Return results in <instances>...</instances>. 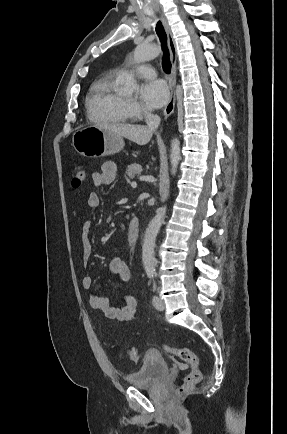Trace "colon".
Listing matches in <instances>:
<instances>
[{"label": "colon", "mask_w": 287, "mask_h": 434, "mask_svg": "<svg viewBox=\"0 0 287 434\" xmlns=\"http://www.w3.org/2000/svg\"><path fill=\"white\" fill-rule=\"evenodd\" d=\"M85 178H86V171L84 167L80 164L76 165L73 169V174H72V182H71L72 186L74 188H79L85 181ZM164 348L169 354L186 362L190 367V370L186 375L183 384L177 390V394L182 395L183 393L197 386L202 379V374L199 368V360L197 356L188 348L173 347L167 345L164 346ZM126 355L129 360L137 361L139 357L138 349L136 347H129L126 351Z\"/></svg>", "instance_id": "colon-1"}]
</instances>
